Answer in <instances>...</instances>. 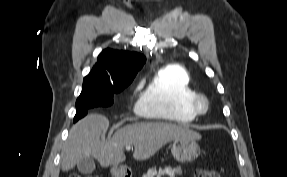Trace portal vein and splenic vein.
<instances>
[{
    "label": "portal vein and splenic vein",
    "mask_w": 287,
    "mask_h": 177,
    "mask_svg": "<svg viewBox=\"0 0 287 177\" xmlns=\"http://www.w3.org/2000/svg\"><path fill=\"white\" fill-rule=\"evenodd\" d=\"M131 146L129 145V146H126V150H131Z\"/></svg>",
    "instance_id": "1"
}]
</instances>
